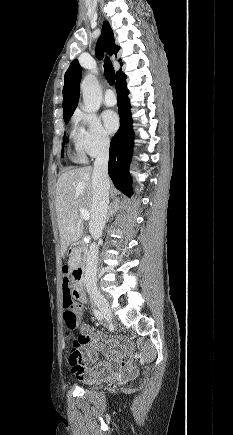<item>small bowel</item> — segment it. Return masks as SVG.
I'll list each match as a JSON object with an SVG mask.
<instances>
[{
    "label": "small bowel",
    "mask_w": 233,
    "mask_h": 435,
    "mask_svg": "<svg viewBox=\"0 0 233 435\" xmlns=\"http://www.w3.org/2000/svg\"><path fill=\"white\" fill-rule=\"evenodd\" d=\"M70 289V283L62 281L63 294L70 295ZM77 309L79 312L82 310L80 306H77ZM80 330L82 334L90 339L83 337L84 340L78 347L82 355V361L78 364L68 363L72 372L80 381L86 383L98 382L104 379L106 373L114 374L118 372L123 379H130L135 376L138 370L137 365L131 361H122V353L111 339L107 338L104 343L100 342L99 335L91 331L86 324H82ZM96 350L104 353V361L98 360ZM87 363H90V365Z\"/></svg>",
    "instance_id": "small-bowel-1"
}]
</instances>
